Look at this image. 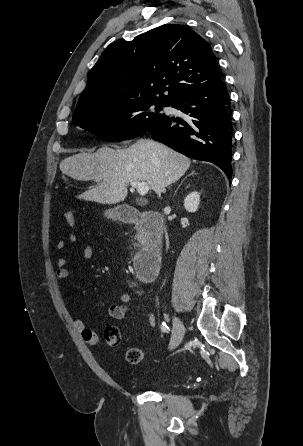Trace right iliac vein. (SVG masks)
Listing matches in <instances>:
<instances>
[{
    "instance_id": "1",
    "label": "right iliac vein",
    "mask_w": 303,
    "mask_h": 446,
    "mask_svg": "<svg viewBox=\"0 0 303 446\" xmlns=\"http://www.w3.org/2000/svg\"><path fill=\"white\" fill-rule=\"evenodd\" d=\"M185 333V327L177 316L173 317V336L170 343V350H173L179 346Z\"/></svg>"
}]
</instances>
